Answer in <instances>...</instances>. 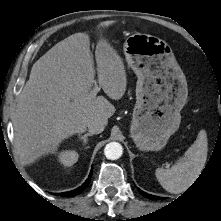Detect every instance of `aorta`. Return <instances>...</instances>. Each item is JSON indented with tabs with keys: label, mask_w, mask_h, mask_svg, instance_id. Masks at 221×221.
<instances>
[{
	"label": "aorta",
	"mask_w": 221,
	"mask_h": 221,
	"mask_svg": "<svg viewBox=\"0 0 221 221\" xmlns=\"http://www.w3.org/2000/svg\"><path fill=\"white\" fill-rule=\"evenodd\" d=\"M123 148L118 142H110L105 146L104 154L110 160H117L121 157Z\"/></svg>",
	"instance_id": "aorta-1"
}]
</instances>
